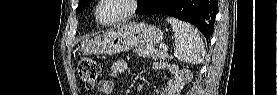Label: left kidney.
Listing matches in <instances>:
<instances>
[{
  "instance_id": "1",
  "label": "left kidney",
  "mask_w": 277,
  "mask_h": 95,
  "mask_svg": "<svg viewBox=\"0 0 277 95\" xmlns=\"http://www.w3.org/2000/svg\"><path fill=\"white\" fill-rule=\"evenodd\" d=\"M170 70L172 73H174L175 77L173 80H170L168 82V87L166 92L174 93L182 89L184 82L188 79V77L190 76V73L188 72V70L179 71L178 68L175 66H171Z\"/></svg>"
}]
</instances>
